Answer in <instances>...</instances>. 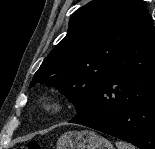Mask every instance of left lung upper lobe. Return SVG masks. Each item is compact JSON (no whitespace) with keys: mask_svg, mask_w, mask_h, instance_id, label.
Instances as JSON below:
<instances>
[{"mask_svg":"<svg viewBox=\"0 0 155 149\" xmlns=\"http://www.w3.org/2000/svg\"><path fill=\"white\" fill-rule=\"evenodd\" d=\"M148 13L142 0H92L84 5L70 18L67 35L44 59L30 87H55L79 113Z\"/></svg>","mask_w":155,"mask_h":149,"instance_id":"obj_1","label":"left lung upper lobe"}]
</instances>
